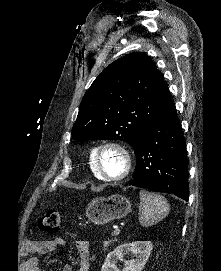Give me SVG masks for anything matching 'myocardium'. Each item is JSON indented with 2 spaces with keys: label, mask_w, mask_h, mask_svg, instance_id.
<instances>
[{
  "label": "myocardium",
  "mask_w": 221,
  "mask_h": 271,
  "mask_svg": "<svg viewBox=\"0 0 221 271\" xmlns=\"http://www.w3.org/2000/svg\"><path fill=\"white\" fill-rule=\"evenodd\" d=\"M102 140H107L108 142H104L103 145H96V150H94V153H96L97 156H94L93 159H95V169H98L97 175H103L104 178H125L128 176V174L131 172V165L132 159L129 158L127 155L130 150H122L121 142H113V140H122L118 138H105ZM114 150V151H113ZM115 155V164H118L119 167H123L124 169L115 175H107L105 176V172L103 170V167L105 166V163L102 158H104L105 155Z\"/></svg>",
  "instance_id": "myocardium-1"
}]
</instances>
